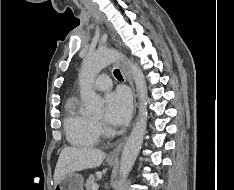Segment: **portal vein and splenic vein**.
<instances>
[{
  "label": "portal vein and splenic vein",
  "instance_id": "1",
  "mask_svg": "<svg viewBox=\"0 0 234 190\" xmlns=\"http://www.w3.org/2000/svg\"><path fill=\"white\" fill-rule=\"evenodd\" d=\"M98 188H99V186H98L97 184H94V185L92 186V190H98Z\"/></svg>",
  "mask_w": 234,
  "mask_h": 190
}]
</instances>
